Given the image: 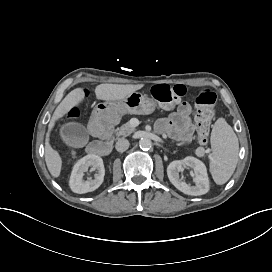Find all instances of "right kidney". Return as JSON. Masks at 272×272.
Instances as JSON below:
<instances>
[{"label":"right kidney","instance_id":"right-kidney-1","mask_svg":"<svg viewBox=\"0 0 272 272\" xmlns=\"http://www.w3.org/2000/svg\"><path fill=\"white\" fill-rule=\"evenodd\" d=\"M92 167V171H96L94 179H83L84 173L88 168ZM105 175V168L103 160L97 155H86L74 165L71 172L69 185L74 193L83 194L96 190L103 182Z\"/></svg>","mask_w":272,"mask_h":272}]
</instances>
